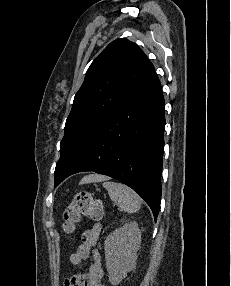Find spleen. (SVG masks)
Instances as JSON below:
<instances>
[{
  "mask_svg": "<svg viewBox=\"0 0 231 286\" xmlns=\"http://www.w3.org/2000/svg\"><path fill=\"white\" fill-rule=\"evenodd\" d=\"M103 179V187L108 191L110 199L117 203L121 211L133 213L140 209L142 199L128 186Z\"/></svg>",
  "mask_w": 231,
  "mask_h": 286,
  "instance_id": "1",
  "label": "spleen"
}]
</instances>
